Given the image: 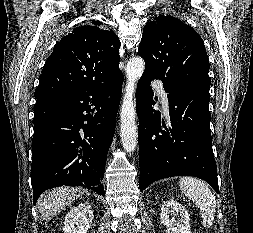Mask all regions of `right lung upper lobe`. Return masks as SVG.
I'll return each mask as SVG.
<instances>
[{
  "instance_id": "1",
  "label": "right lung upper lobe",
  "mask_w": 253,
  "mask_h": 233,
  "mask_svg": "<svg viewBox=\"0 0 253 233\" xmlns=\"http://www.w3.org/2000/svg\"><path fill=\"white\" fill-rule=\"evenodd\" d=\"M119 48L116 34L100 21L76 27L54 46L42 69L35 99L106 81L119 71Z\"/></svg>"
}]
</instances>
